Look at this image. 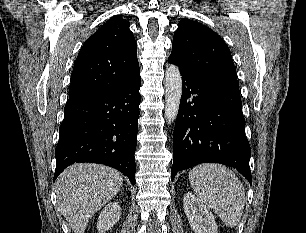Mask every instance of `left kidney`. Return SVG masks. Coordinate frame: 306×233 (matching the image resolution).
<instances>
[{
	"mask_svg": "<svg viewBox=\"0 0 306 233\" xmlns=\"http://www.w3.org/2000/svg\"><path fill=\"white\" fill-rule=\"evenodd\" d=\"M184 212L194 233H217L218 227L209 208L187 192L183 199Z\"/></svg>",
	"mask_w": 306,
	"mask_h": 233,
	"instance_id": "left-kidney-1",
	"label": "left kidney"
}]
</instances>
